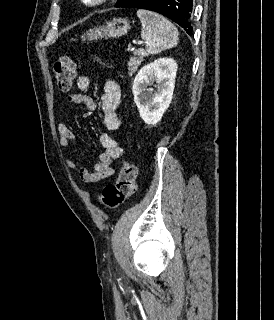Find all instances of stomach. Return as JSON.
Segmentation results:
<instances>
[{"mask_svg": "<svg viewBox=\"0 0 274 320\" xmlns=\"http://www.w3.org/2000/svg\"><path fill=\"white\" fill-rule=\"evenodd\" d=\"M131 26L126 18H113L111 22H107L106 26H98V28H92L88 30L84 36H82V42H92V40H100V38H120V36H126Z\"/></svg>", "mask_w": 274, "mask_h": 320, "instance_id": "1", "label": "stomach"}]
</instances>
